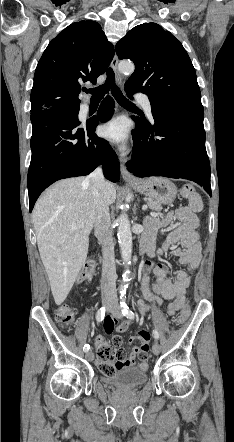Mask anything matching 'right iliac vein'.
I'll return each mask as SVG.
<instances>
[{
    "mask_svg": "<svg viewBox=\"0 0 234 442\" xmlns=\"http://www.w3.org/2000/svg\"><path fill=\"white\" fill-rule=\"evenodd\" d=\"M104 305H106L107 308H108V310H109V308H110V303H109L107 300L104 301ZM86 358H87V360L92 361V360L94 359V354H93V352H92V351H88V352L86 353Z\"/></svg>",
    "mask_w": 234,
    "mask_h": 442,
    "instance_id": "obj_1",
    "label": "right iliac vein"
}]
</instances>
